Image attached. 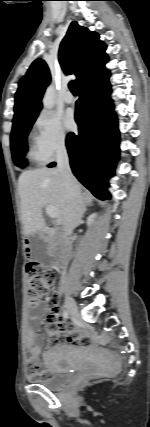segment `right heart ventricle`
Here are the masks:
<instances>
[{
    "mask_svg": "<svg viewBox=\"0 0 150 427\" xmlns=\"http://www.w3.org/2000/svg\"><path fill=\"white\" fill-rule=\"evenodd\" d=\"M27 157L35 162L41 163L43 162V158L41 156V154L39 153L36 144H35V139L34 138H30L29 140V144H28V148H27Z\"/></svg>",
    "mask_w": 150,
    "mask_h": 427,
    "instance_id": "right-heart-ventricle-1",
    "label": "right heart ventricle"
}]
</instances>
